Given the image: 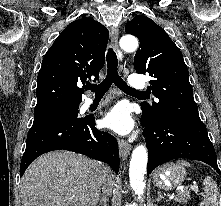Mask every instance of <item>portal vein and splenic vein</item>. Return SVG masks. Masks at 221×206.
I'll use <instances>...</instances> for the list:
<instances>
[{
  "label": "portal vein and splenic vein",
  "mask_w": 221,
  "mask_h": 206,
  "mask_svg": "<svg viewBox=\"0 0 221 206\" xmlns=\"http://www.w3.org/2000/svg\"><path fill=\"white\" fill-rule=\"evenodd\" d=\"M190 190H193L195 191L196 193H199V189H198V186L197 185H192L191 187H189ZM188 188L186 189H181V192L184 193L185 191H187Z\"/></svg>",
  "instance_id": "18ae733b"
}]
</instances>
